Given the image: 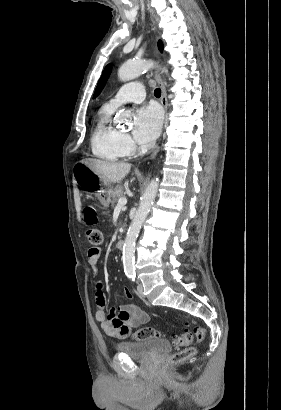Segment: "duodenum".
<instances>
[{"label": "duodenum", "instance_id": "obj_1", "mask_svg": "<svg viewBox=\"0 0 281 410\" xmlns=\"http://www.w3.org/2000/svg\"><path fill=\"white\" fill-rule=\"evenodd\" d=\"M117 249H123L124 247V241L123 240H118L116 243Z\"/></svg>", "mask_w": 281, "mask_h": 410}]
</instances>
